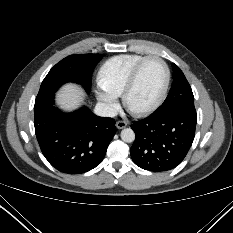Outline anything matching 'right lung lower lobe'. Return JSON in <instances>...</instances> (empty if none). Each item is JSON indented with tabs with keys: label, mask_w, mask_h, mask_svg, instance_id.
Instances as JSON below:
<instances>
[{
	"label": "right lung lower lobe",
	"mask_w": 233,
	"mask_h": 233,
	"mask_svg": "<svg viewBox=\"0 0 233 233\" xmlns=\"http://www.w3.org/2000/svg\"><path fill=\"white\" fill-rule=\"evenodd\" d=\"M35 133L41 151L57 170L81 174L97 167L116 133L115 120L83 107L65 114L54 107V94L34 105Z\"/></svg>",
	"instance_id": "1"
}]
</instances>
